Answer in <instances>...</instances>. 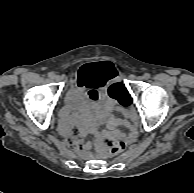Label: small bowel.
<instances>
[{
  "label": "small bowel",
  "instance_id": "obj_1",
  "mask_svg": "<svg viewBox=\"0 0 194 193\" xmlns=\"http://www.w3.org/2000/svg\"><path fill=\"white\" fill-rule=\"evenodd\" d=\"M109 74H116V69L107 62L94 63L83 67L77 82L78 90L87 102L75 103L63 109L61 132L67 137L69 144L80 152L85 151L82 141L85 129L77 121L78 115L85 117L84 126L88 130H94L93 123L95 120H105L111 128H114L118 121L112 113L116 104L115 100L100 91L107 84ZM122 112L126 117L133 114L130 108H122ZM73 128L76 129L74 135L71 134Z\"/></svg>",
  "mask_w": 194,
  "mask_h": 193
}]
</instances>
